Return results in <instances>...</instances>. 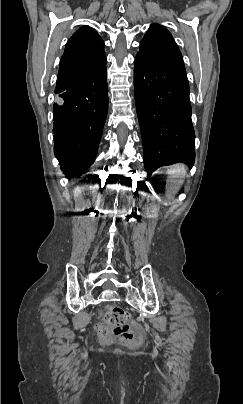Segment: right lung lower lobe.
Segmentation results:
<instances>
[{
    "label": "right lung lower lobe",
    "instance_id": "98d812e1",
    "mask_svg": "<svg viewBox=\"0 0 243 404\" xmlns=\"http://www.w3.org/2000/svg\"><path fill=\"white\" fill-rule=\"evenodd\" d=\"M106 76L105 66L55 92L54 153L68 178L84 177L96 157L108 109Z\"/></svg>",
    "mask_w": 243,
    "mask_h": 404
}]
</instances>
